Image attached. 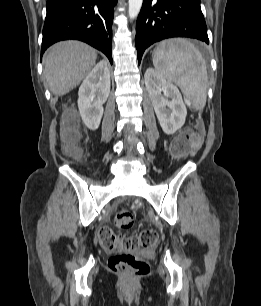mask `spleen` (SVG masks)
<instances>
[{"mask_svg": "<svg viewBox=\"0 0 261 306\" xmlns=\"http://www.w3.org/2000/svg\"><path fill=\"white\" fill-rule=\"evenodd\" d=\"M152 59L157 72L180 87L186 103L203 110L208 75L205 60L195 45L186 39L165 40L154 49Z\"/></svg>", "mask_w": 261, "mask_h": 306, "instance_id": "1", "label": "spleen"}]
</instances>
